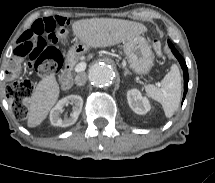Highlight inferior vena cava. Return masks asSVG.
<instances>
[{
    "mask_svg": "<svg viewBox=\"0 0 215 183\" xmlns=\"http://www.w3.org/2000/svg\"><path fill=\"white\" fill-rule=\"evenodd\" d=\"M86 81H87V75L85 73L78 74L75 77V83L78 86H83L86 83Z\"/></svg>",
    "mask_w": 215,
    "mask_h": 183,
    "instance_id": "602c4592",
    "label": "inferior vena cava"
}]
</instances>
